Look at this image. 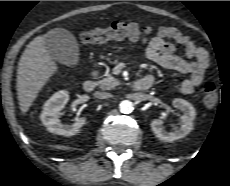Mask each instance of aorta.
Here are the masks:
<instances>
[{
	"label": "aorta",
	"instance_id": "obj_1",
	"mask_svg": "<svg viewBox=\"0 0 230 186\" xmlns=\"http://www.w3.org/2000/svg\"><path fill=\"white\" fill-rule=\"evenodd\" d=\"M120 111L124 114H129L134 110L133 103L129 100H124L119 105Z\"/></svg>",
	"mask_w": 230,
	"mask_h": 186
}]
</instances>
